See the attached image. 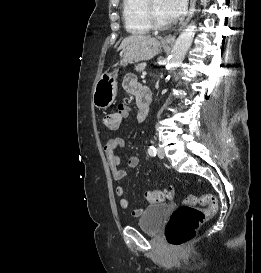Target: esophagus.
<instances>
[{"label":"esophagus","instance_id":"34e87169","mask_svg":"<svg viewBox=\"0 0 261 273\" xmlns=\"http://www.w3.org/2000/svg\"><path fill=\"white\" fill-rule=\"evenodd\" d=\"M195 4H196V0H190V9H189L188 16L185 22L180 27L179 31L182 30V28H184L187 25V23L190 21L191 17L193 16L195 11ZM175 39H176V35H167L164 38L165 42L169 45H173L175 42Z\"/></svg>","mask_w":261,"mask_h":273}]
</instances>
